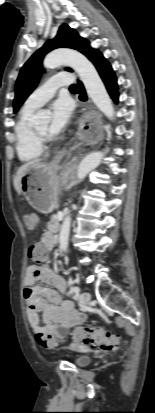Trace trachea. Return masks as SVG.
I'll list each match as a JSON object with an SVG mask.
<instances>
[{"mask_svg": "<svg viewBox=\"0 0 155 413\" xmlns=\"http://www.w3.org/2000/svg\"><path fill=\"white\" fill-rule=\"evenodd\" d=\"M78 87H77V85L76 84H72L71 86H70V89L71 90H75V89H77Z\"/></svg>", "mask_w": 155, "mask_h": 413, "instance_id": "1", "label": "trachea"}]
</instances>
